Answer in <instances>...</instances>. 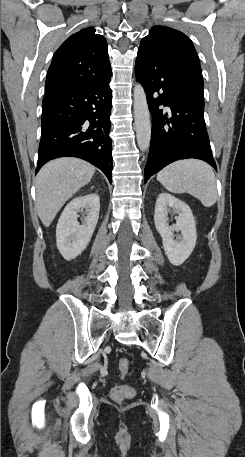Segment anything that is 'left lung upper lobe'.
Instances as JSON below:
<instances>
[{"mask_svg": "<svg viewBox=\"0 0 245 457\" xmlns=\"http://www.w3.org/2000/svg\"><path fill=\"white\" fill-rule=\"evenodd\" d=\"M138 52L166 56L192 89L203 95L204 81L199 57L191 40L182 32L165 26H153L149 35L141 40Z\"/></svg>", "mask_w": 245, "mask_h": 457, "instance_id": "1", "label": "left lung upper lobe"}]
</instances>
